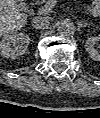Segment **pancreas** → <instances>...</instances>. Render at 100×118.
I'll use <instances>...</instances> for the list:
<instances>
[{
    "instance_id": "1",
    "label": "pancreas",
    "mask_w": 100,
    "mask_h": 118,
    "mask_svg": "<svg viewBox=\"0 0 100 118\" xmlns=\"http://www.w3.org/2000/svg\"><path fill=\"white\" fill-rule=\"evenodd\" d=\"M46 0H39V3H43V2H45Z\"/></svg>"
}]
</instances>
